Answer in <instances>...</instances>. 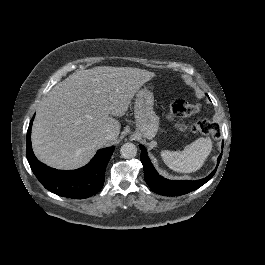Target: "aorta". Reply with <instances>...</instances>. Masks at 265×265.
Instances as JSON below:
<instances>
[{
	"mask_svg": "<svg viewBox=\"0 0 265 265\" xmlns=\"http://www.w3.org/2000/svg\"><path fill=\"white\" fill-rule=\"evenodd\" d=\"M123 158L130 159L136 156L137 146L134 143H124L120 149Z\"/></svg>",
	"mask_w": 265,
	"mask_h": 265,
	"instance_id": "1",
	"label": "aorta"
}]
</instances>
